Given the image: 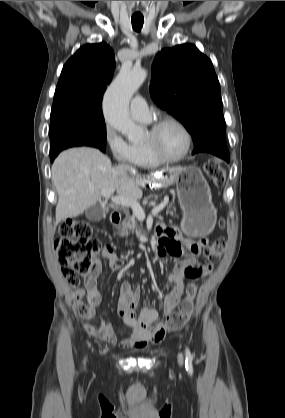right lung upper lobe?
I'll return each instance as SVG.
<instances>
[{
	"mask_svg": "<svg viewBox=\"0 0 285 418\" xmlns=\"http://www.w3.org/2000/svg\"><path fill=\"white\" fill-rule=\"evenodd\" d=\"M114 52L104 42L82 46L64 65L53 105L102 107V97L115 69Z\"/></svg>",
	"mask_w": 285,
	"mask_h": 418,
	"instance_id": "cb5924a9",
	"label": "right lung upper lobe"
}]
</instances>
